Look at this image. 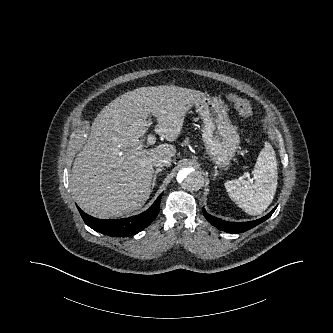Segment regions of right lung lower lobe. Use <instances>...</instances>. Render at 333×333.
<instances>
[{"label":"right lung lower lobe","instance_id":"1","mask_svg":"<svg viewBox=\"0 0 333 333\" xmlns=\"http://www.w3.org/2000/svg\"><path fill=\"white\" fill-rule=\"evenodd\" d=\"M161 197L162 194L145 212L124 219L101 220L84 213L79 207L78 210L84 222L97 232L114 237L131 236L145 229L156 218L160 210Z\"/></svg>","mask_w":333,"mask_h":333}]
</instances>
